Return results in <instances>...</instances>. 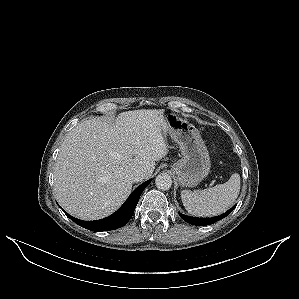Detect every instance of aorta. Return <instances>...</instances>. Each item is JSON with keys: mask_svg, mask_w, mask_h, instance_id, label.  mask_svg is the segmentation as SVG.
Segmentation results:
<instances>
[{"mask_svg": "<svg viewBox=\"0 0 299 299\" xmlns=\"http://www.w3.org/2000/svg\"><path fill=\"white\" fill-rule=\"evenodd\" d=\"M155 185L160 190H169L172 186V179L168 174H159L155 179Z\"/></svg>", "mask_w": 299, "mask_h": 299, "instance_id": "aorta-1", "label": "aorta"}]
</instances>
